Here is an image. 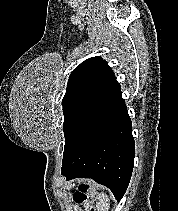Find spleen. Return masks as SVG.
Returning <instances> with one entry per match:
<instances>
[{
	"mask_svg": "<svg viewBox=\"0 0 178 211\" xmlns=\"http://www.w3.org/2000/svg\"><path fill=\"white\" fill-rule=\"evenodd\" d=\"M96 208L98 211H108L110 208V198L105 193H100L97 197Z\"/></svg>",
	"mask_w": 178,
	"mask_h": 211,
	"instance_id": "spleen-1",
	"label": "spleen"
}]
</instances>
